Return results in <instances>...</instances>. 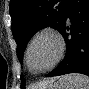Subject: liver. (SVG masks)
Listing matches in <instances>:
<instances>
[{
  "label": "liver",
  "mask_w": 89,
  "mask_h": 89,
  "mask_svg": "<svg viewBox=\"0 0 89 89\" xmlns=\"http://www.w3.org/2000/svg\"><path fill=\"white\" fill-rule=\"evenodd\" d=\"M55 81H56V78H50V79L44 80L40 85L37 86L39 87L37 89H46L47 87L52 85Z\"/></svg>",
  "instance_id": "1"
}]
</instances>
